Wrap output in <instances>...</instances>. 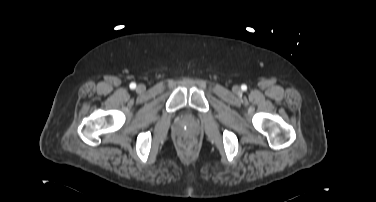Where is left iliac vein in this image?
<instances>
[{"instance_id":"left-iliac-vein-1","label":"left iliac vein","mask_w":376,"mask_h":202,"mask_svg":"<svg viewBox=\"0 0 376 202\" xmlns=\"http://www.w3.org/2000/svg\"><path fill=\"white\" fill-rule=\"evenodd\" d=\"M234 92L239 93L241 91L239 86H234L233 88Z\"/></svg>"}]
</instances>
